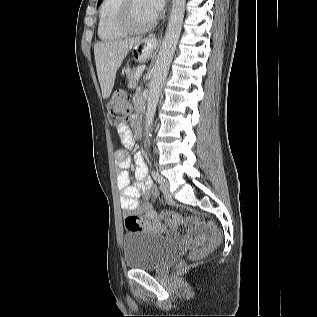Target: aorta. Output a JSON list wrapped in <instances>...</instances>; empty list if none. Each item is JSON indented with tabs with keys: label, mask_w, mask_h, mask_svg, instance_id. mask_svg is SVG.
I'll return each mask as SVG.
<instances>
[{
	"label": "aorta",
	"mask_w": 317,
	"mask_h": 317,
	"mask_svg": "<svg viewBox=\"0 0 317 317\" xmlns=\"http://www.w3.org/2000/svg\"><path fill=\"white\" fill-rule=\"evenodd\" d=\"M185 2L186 0H172V9L165 37L153 67L152 78L149 83L147 111L145 116V145L150 144L149 138L151 136L150 132L156 107L180 37L185 12Z\"/></svg>",
	"instance_id": "1"
}]
</instances>
